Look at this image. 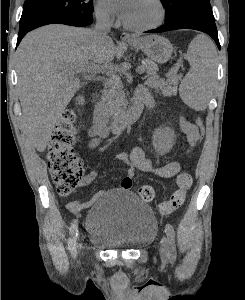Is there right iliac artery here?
Masks as SVG:
<instances>
[{
  "label": "right iliac artery",
  "instance_id": "right-iliac-artery-1",
  "mask_svg": "<svg viewBox=\"0 0 245 300\" xmlns=\"http://www.w3.org/2000/svg\"><path fill=\"white\" fill-rule=\"evenodd\" d=\"M70 238L68 240V249L71 251L73 255L76 254V240L78 234V221L76 219L73 220L70 228H69Z\"/></svg>",
  "mask_w": 245,
  "mask_h": 300
}]
</instances>
